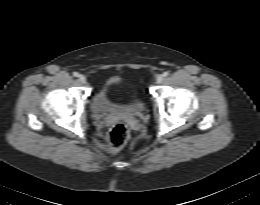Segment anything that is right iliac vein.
<instances>
[{
    "label": "right iliac vein",
    "mask_w": 260,
    "mask_h": 205,
    "mask_svg": "<svg viewBox=\"0 0 260 205\" xmlns=\"http://www.w3.org/2000/svg\"><path fill=\"white\" fill-rule=\"evenodd\" d=\"M79 81L81 83H85L86 82V77L84 75H79Z\"/></svg>",
    "instance_id": "obj_1"
}]
</instances>
